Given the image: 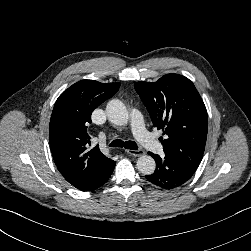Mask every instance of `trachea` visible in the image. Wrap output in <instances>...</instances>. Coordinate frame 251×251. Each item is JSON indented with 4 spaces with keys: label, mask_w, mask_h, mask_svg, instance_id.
Returning <instances> with one entry per match:
<instances>
[{
    "label": "trachea",
    "mask_w": 251,
    "mask_h": 251,
    "mask_svg": "<svg viewBox=\"0 0 251 251\" xmlns=\"http://www.w3.org/2000/svg\"><path fill=\"white\" fill-rule=\"evenodd\" d=\"M110 147H124L125 149L137 150L138 146L134 141H122L120 139L113 140L110 144Z\"/></svg>",
    "instance_id": "trachea-1"
}]
</instances>
